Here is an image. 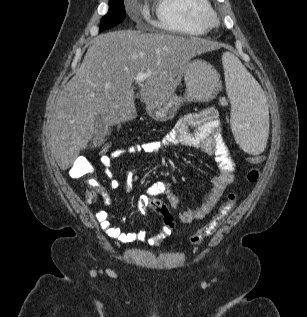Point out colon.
<instances>
[{
  "label": "colon",
  "mask_w": 307,
  "mask_h": 317,
  "mask_svg": "<svg viewBox=\"0 0 307 317\" xmlns=\"http://www.w3.org/2000/svg\"><path fill=\"white\" fill-rule=\"evenodd\" d=\"M117 149L114 148L112 143H105L99 149V154L101 156L109 155ZM247 162L252 166L248 173L247 179L249 182L258 181L261 174V166L264 162V157L252 156L247 159ZM70 174L75 179H83L94 183V169L91 163L86 158H78L73 164ZM96 198V193L93 190L87 192V199L89 201H94ZM237 203V195L235 193L228 194L226 200L220 205L216 214L209 220L207 224L198 229L194 234L191 235L190 241L192 244H200L206 238L213 235L219 227L222 225L224 220L234 209ZM151 207L158 212L162 219L164 226L168 229H172L175 226V219L171 212L168 210L167 206L163 201L157 198H152L150 200Z\"/></svg>",
  "instance_id": "colon-1"
}]
</instances>
